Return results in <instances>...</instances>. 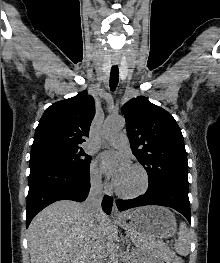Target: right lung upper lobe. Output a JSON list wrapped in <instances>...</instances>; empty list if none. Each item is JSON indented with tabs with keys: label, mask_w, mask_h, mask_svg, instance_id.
I'll return each instance as SVG.
<instances>
[{
	"label": "right lung upper lobe",
	"mask_w": 220,
	"mask_h": 263,
	"mask_svg": "<svg viewBox=\"0 0 220 263\" xmlns=\"http://www.w3.org/2000/svg\"><path fill=\"white\" fill-rule=\"evenodd\" d=\"M95 104L87 91L58 101L46 109L36 128L31 153L45 149L80 147L89 136Z\"/></svg>",
	"instance_id": "1"
}]
</instances>
